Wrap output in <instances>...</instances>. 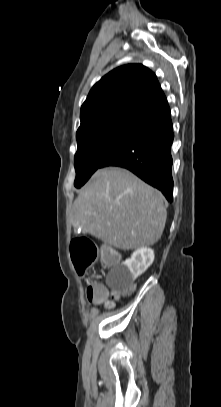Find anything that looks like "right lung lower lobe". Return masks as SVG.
I'll list each match as a JSON object with an SVG mask.
<instances>
[{
  "label": "right lung lower lobe",
  "mask_w": 221,
  "mask_h": 407,
  "mask_svg": "<svg viewBox=\"0 0 221 407\" xmlns=\"http://www.w3.org/2000/svg\"><path fill=\"white\" fill-rule=\"evenodd\" d=\"M173 128L167 105L142 121L135 131L102 163L126 168L173 200Z\"/></svg>",
  "instance_id": "1"
}]
</instances>
